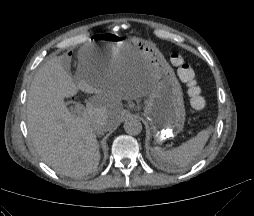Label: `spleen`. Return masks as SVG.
Returning <instances> with one entry per match:
<instances>
[{
    "mask_svg": "<svg viewBox=\"0 0 254 216\" xmlns=\"http://www.w3.org/2000/svg\"><path fill=\"white\" fill-rule=\"evenodd\" d=\"M209 136L210 130L205 129L177 148L164 150L161 147H154L152 152L162 166L170 171H176L186 167L203 150Z\"/></svg>",
    "mask_w": 254,
    "mask_h": 216,
    "instance_id": "3e777b00",
    "label": "spleen"
}]
</instances>
